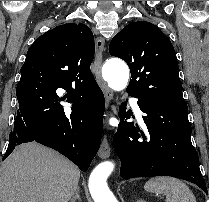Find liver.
Instances as JSON below:
<instances>
[{"label": "liver", "mask_w": 209, "mask_h": 202, "mask_svg": "<svg viewBox=\"0 0 209 202\" xmlns=\"http://www.w3.org/2000/svg\"><path fill=\"white\" fill-rule=\"evenodd\" d=\"M80 170L68 159L38 143L16 147L2 163L0 202H68Z\"/></svg>", "instance_id": "1"}]
</instances>
